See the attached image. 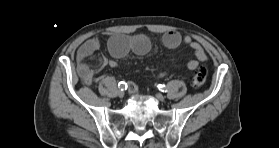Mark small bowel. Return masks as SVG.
Here are the masks:
<instances>
[{
	"instance_id": "c3829d8e",
	"label": "small bowel",
	"mask_w": 279,
	"mask_h": 148,
	"mask_svg": "<svg viewBox=\"0 0 279 148\" xmlns=\"http://www.w3.org/2000/svg\"><path fill=\"white\" fill-rule=\"evenodd\" d=\"M163 44L170 49L178 47L181 43L188 45L194 52V59H190L187 63V67L190 70H194L198 67L200 62L207 60V54L204 51L200 43L193 40L190 36L182 37L177 31H168L162 36ZM100 48V42L97 38H90L85 41L77 50V73L82 81L89 85L95 81L97 72L105 67L109 66L111 68L118 67V63L114 59H107L106 57H100L98 60V68L93 69L88 59L93 56ZM152 48V43L149 37L146 35H114L111 36L108 41V49L110 54L114 58H122L129 52H134L138 55L147 54ZM128 88L130 92H135L138 86L134 82L128 83Z\"/></svg>"
}]
</instances>
